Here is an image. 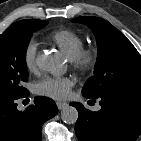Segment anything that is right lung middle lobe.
Here are the masks:
<instances>
[{"mask_svg":"<svg viewBox=\"0 0 141 141\" xmlns=\"http://www.w3.org/2000/svg\"><path fill=\"white\" fill-rule=\"evenodd\" d=\"M48 24L45 20H21L0 35V98L27 93L21 84L28 79L26 51L32 33Z\"/></svg>","mask_w":141,"mask_h":141,"instance_id":"right-lung-middle-lobe-1","label":"right lung middle lobe"}]
</instances>
